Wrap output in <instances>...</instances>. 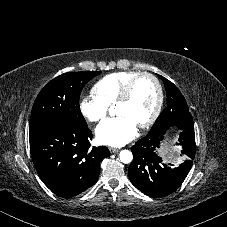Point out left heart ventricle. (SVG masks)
<instances>
[{"mask_svg":"<svg viewBox=\"0 0 227 227\" xmlns=\"http://www.w3.org/2000/svg\"><path fill=\"white\" fill-rule=\"evenodd\" d=\"M156 101L157 91L153 81L142 77L136 82L130 99L115 106V113L128 117L139 126L151 116Z\"/></svg>","mask_w":227,"mask_h":227,"instance_id":"left-heart-ventricle-1","label":"left heart ventricle"}]
</instances>
